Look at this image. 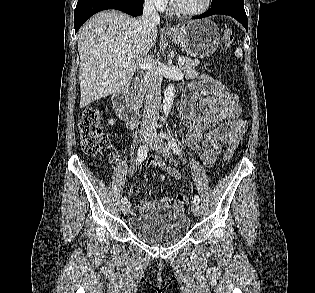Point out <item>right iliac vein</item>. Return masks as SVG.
Instances as JSON below:
<instances>
[{"mask_svg":"<svg viewBox=\"0 0 315 293\" xmlns=\"http://www.w3.org/2000/svg\"><path fill=\"white\" fill-rule=\"evenodd\" d=\"M141 141H142V144L147 145V144L151 143L152 139L150 136H144V137H142ZM130 207H131L130 202L127 201V202L123 203V205H122L123 214H125V215L128 214V212L130 211Z\"/></svg>","mask_w":315,"mask_h":293,"instance_id":"right-iliac-vein-1","label":"right iliac vein"}]
</instances>
